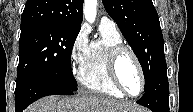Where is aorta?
<instances>
[{
    "mask_svg": "<svg viewBox=\"0 0 193 112\" xmlns=\"http://www.w3.org/2000/svg\"><path fill=\"white\" fill-rule=\"evenodd\" d=\"M97 14V0H85L84 2V18L89 23H93Z\"/></svg>",
    "mask_w": 193,
    "mask_h": 112,
    "instance_id": "762f6f07",
    "label": "aorta"
}]
</instances>
